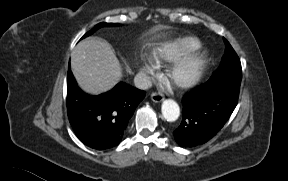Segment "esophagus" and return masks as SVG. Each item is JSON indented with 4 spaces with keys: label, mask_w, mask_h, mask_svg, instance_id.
Instances as JSON below:
<instances>
[{
    "label": "esophagus",
    "mask_w": 288,
    "mask_h": 181,
    "mask_svg": "<svg viewBox=\"0 0 288 181\" xmlns=\"http://www.w3.org/2000/svg\"><path fill=\"white\" fill-rule=\"evenodd\" d=\"M151 99H152V101L153 102H155V103H160L161 101H163L164 100V96H163V94H161V93H152L151 94Z\"/></svg>",
    "instance_id": "1"
}]
</instances>
